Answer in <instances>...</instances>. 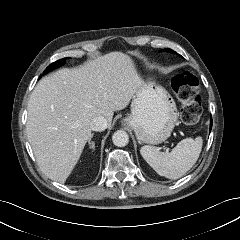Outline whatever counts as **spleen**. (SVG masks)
<instances>
[{
  "instance_id": "spleen-1",
  "label": "spleen",
  "mask_w": 240,
  "mask_h": 240,
  "mask_svg": "<svg viewBox=\"0 0 240 240\" xmlns=\"http://www.w3.org/2000/svg\"><path fill=\"white\" fill-rule=\"evenodd\" d=\"M202 145L201 137L185 138L171 152H160L157 147L145 145L140 149V153L160 176L178 179L196 163Z\"/></svg>"
}]
</instances>
